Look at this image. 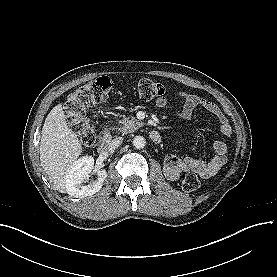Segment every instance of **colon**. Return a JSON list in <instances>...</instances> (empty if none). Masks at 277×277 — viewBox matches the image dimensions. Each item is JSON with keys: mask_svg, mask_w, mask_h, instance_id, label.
<instances>
[{"mask_svg": "<svg viewBox=\"0 0 277 277\" xmlns=\"http://www.w3.org/2000/svg\"><path fill=\"white\" fill-rule=\"evenodd\" d=\"M96 85L91 84L69 94L66 104V108L69 109L68 116L71 120V124L74 126L78 135L87 145H93L95 138L84 115L90 106L96 105L104 98V94L111 87V81L109 78L103 77L99 79ZM97 87H101L103 92L96 93L94 90ZM139 93L143 97L152 99L163 96L165 93V88L159 83L142 80L139 83ZM184 182L188 191L194 190L195 181L192 176L189 175L184 180Z\"/></svg>", "mask_w": 277, "mask_h": 277, "instance_id": "colon-1", "label": "colon"}]
</instances>
